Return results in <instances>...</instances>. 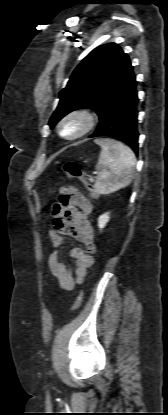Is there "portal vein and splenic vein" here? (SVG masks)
I'll use <instances>...</instances> for the list:
<instances>
[{"label": "portal vein and splenic vein", "mask_w": 168, "mask_h": 415, "mask_svg": "<svg viewBox=\"0 0 168 415\" xmlns=\"http://www.w3.org/2000/svg\"><path fill=\"white\" fill-rule=\"evenodd\" d=\"M90 181H93V177H90Z\"/></svg>", "instance_id": "18ae733b"}]
</instances>
